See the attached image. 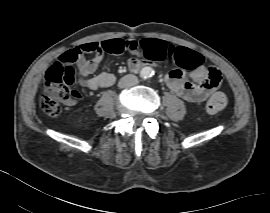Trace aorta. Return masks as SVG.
I'll list each match as a JSON object with an SVG mask.
<instances>
[{
	"label": "aorta",
	"mask_w": 270,
	"mask_h": 213,
	"mask_svg": "<svg viewBox=\"0 0 270 213\" xmlns=\"http://www.w3.org/2000/svg\"><path fill=\"white\" fill-rule=\"evenodd\" d=\"M152 72H153L152 68H150V67H145V68L142 70V75H143L144 77H149V76L152 75Z\"/></svg>",
	"instance_id": "aorta-1"
}]
</instances>
